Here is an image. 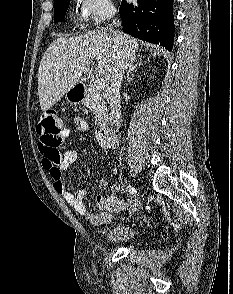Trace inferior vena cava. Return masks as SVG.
Listing matches in <instances>:
<instances>
[{
  "instance_id": "1",
  "label": "inferior vena cava",
  "mask_w": 233,
  "mask_h": 294,
  "mask_svg": "<svg viewBox=\"0 0 233 294\" xmlns=\"http://www.w3.org/2000/svg\"><path fill=\"white\" fill-rule=\"evenodd\" d=\"M116 11H112L109 17H113ZM114 36L116 39V46L118 51L114 57V62L112 65V69L110 72V87H109V94L108 100L110 105V120L119 128L120 122L122 121L121 115V96H120V88L123 79V75L127 68L128 64V57L120 50L118 40L119 36L114 32Z\"/></svg>"
}]
</instances>
